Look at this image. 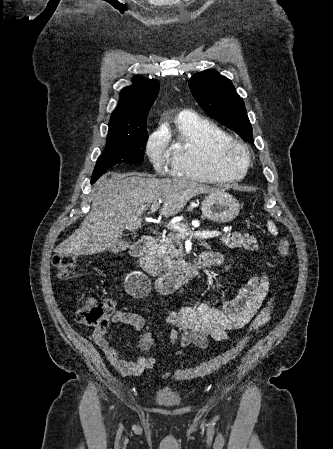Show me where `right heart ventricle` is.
Segmentation results:
<instances>
[{
    "mask_svg": "<svg viewBox=\"0 0 333 449\" xmlns=\"http://www.w3.org/2000/svg\"><path fill=\"white\" fill-rule=\"evenodd\" d=\"M231 138L216 123L194 117L178 120L172 144V172L175 176L198 182L235 181L243 178L248 166L224 169L217 159L220 143Z\"/></svg>",
    "mask_w": 333,
    "mask_h": 449,
    "instance_id": "obj_1",
    "label": "right heart ventricle"
}]
</instances>
